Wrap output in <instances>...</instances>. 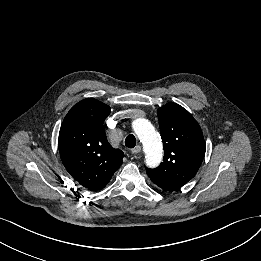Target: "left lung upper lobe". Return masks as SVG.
Instances as JSON below:
<instances>
[{
  "label": "left lung upper lobe",
  "mask_w": 261,
  "mask_h": 261,
  "mask_svg": "<svg viewBox=\"0 0 261 261\" xmlns=\"http://www.w3.org/2000/svg\"><path fill=\"white\" fill-rule=\"evenodd\" d=\"M164 146L163 162L147 174L158 187L176 190L197 173L205 156L206 144L199 124L176 103L157 110Z\"/></svg>",
  "instance_id": "1"
}]
</instances>
